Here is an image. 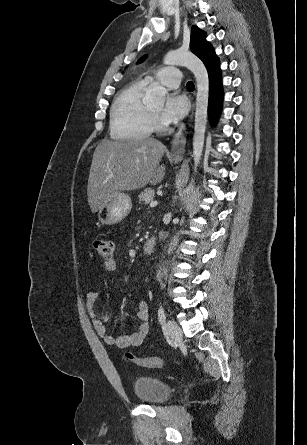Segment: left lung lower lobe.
<instances>
[{"instance_id": "1", "label": "left lung lower lobe", "mask_w": 307, "mask_h": 445, "mask_svg": "<svg viewBox=\"0 0 307 445\" xmlns=\"http://www.w3.org/2000/svg\"><path fill=\"white\" fill-rule=\"evenodd\" d=\"M209 74V117L212 123H215L218 119L222 108V84H221V73L219 68L218 58L212 60L208 65H206Z\"/></svg>"}]
</instances>
